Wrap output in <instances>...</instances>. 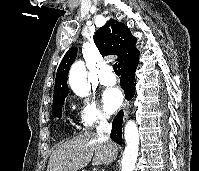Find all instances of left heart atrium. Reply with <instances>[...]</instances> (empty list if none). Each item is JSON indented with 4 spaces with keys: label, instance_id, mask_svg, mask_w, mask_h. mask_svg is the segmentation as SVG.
<instances>
[{
    "label": "left heart atrium",
    "instance_id": "obj_1",
    "mask_svg": "<svg viewBox=\"0 0 199 171\" xmlns=\"http://www.w3.org/2000/svg\"><path fill=\"white\" fill-rule=\"evenodd\" d=\"M123 103V94L118 88L106 89L102 94L103 108L107 113L115 112Z\"/></svg>",
    "mask_w": 199,
    "mask_h": 171
}]
</instances>
